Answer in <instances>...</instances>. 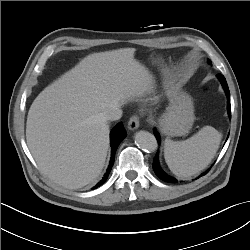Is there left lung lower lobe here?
<instances>
[{
	"instance_id": "obj_1",
	"label": "left lung lower lobe",
	"mask_w": 250,
	"mask_h": 250,
	"mask_svg": "<svg viewBox=\"0 0 250 250\" xmlns=\"http://www.w3.org/2000/svg\"><path fill=\"white\" fill-rule=\"evenodd\" d=\"M217 77L219 78L223 89L226 93L227 96V110H228V114L231 118V108H230V92H229V88L227 85V82L225 80V77L221 74H218ZM154 135L156 136L158 142H160V138H159V134L154 130ZM153 169L155 174L163 181L168 182V183H177V180L169 175H167L161 168L159 165V161H158V153L156 154V157L153 160ZM209 170H207L204 175L208 172Z\"/></svg>"
}]
</instances>
